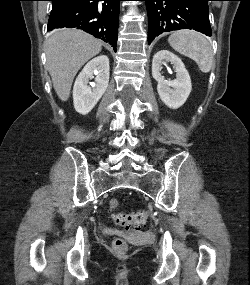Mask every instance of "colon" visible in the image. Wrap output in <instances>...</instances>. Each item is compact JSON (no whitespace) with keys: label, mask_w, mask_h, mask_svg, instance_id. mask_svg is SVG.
<instances>
[{"label":"colon","mask_w":250,"mask_h":285,"mask_svg":"<svg viewBox=\"0 0 250 285\" xmlns=\"http://www.w3.org/2000/svg\"><path fill=\"white\" fill-rule=\"evenodd\" d=\"M119 207V201L115 198L109 201V210L112 212V219L116 225L124 228H139L146 224L148 212L140 210L132 213H114ZM113 249L119 254H124L128 249L127 242L122 238H117L112 243Z\"/></svg>","instance_id":"1"}]
</instances>
